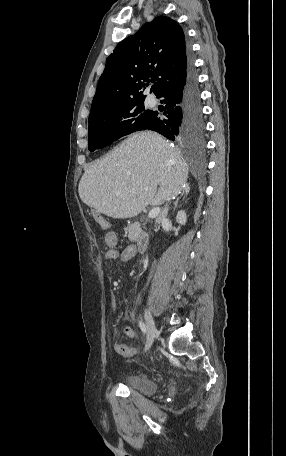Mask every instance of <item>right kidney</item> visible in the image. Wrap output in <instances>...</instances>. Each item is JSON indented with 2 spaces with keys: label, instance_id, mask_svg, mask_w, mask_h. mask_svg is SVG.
I'll return each instance as SVG.
<instances>
[{
  "label": "right kidney",
  "instance_id": "1",
  "mask_svg": "<svg viewBox=\"0 0 286 456\" xmlns=\"http://www.w3.org/2000/svg\"><path fill=\"white\" fill-rule=\"evenodd\" d=\"M186 221H187V216H186L185 211H183V210L178 211V213L176 215V222L181 225H185Z\"/></svg>",
  "mask_w": 286,
  "mask_h": 456
}]
</instances>
